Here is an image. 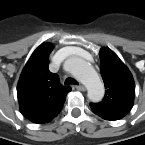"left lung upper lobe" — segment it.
Instances as JSON below:
<instances>
[{"label":"left lung upper lobe","mask_w":145,"mask_h":145,"mask_svg":"<svg viewBox=\"0 0 145 145\" xmlns=\"http://www.w3.org/2000/svg\"><path fill=\"white\" fill-rule=\"evenodd\" d=\"M101 75L106 88L105 97L98 104H90L101 118L114 121L124 117L133 107L135 83L129 69L108 48L100 50Z\"/></svg>","instance_id":"1"}]
</instances>
